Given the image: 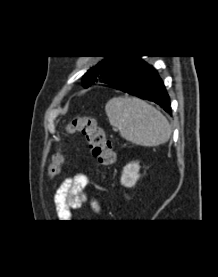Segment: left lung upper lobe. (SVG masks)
Returning <instances> with one entry per match:
<instances>
[{
	"instance_id": "1",
	"label": "left lung upper lobe",
	"mask_w": 218,
	"mask_h": 277,
	"mask_svg": "<svg viewBox=\"0 0 218 277\" xmlns=\"http://www.w3.org/2000/svg\"><path fill=\"white\" fill-rule=\"evenodd\" d=\"M103 62L91 67L83 76L82 84L88 87L94 82H103L112 73L122 69L136 56H107Z\"/></svg>"
}]
</instances>
